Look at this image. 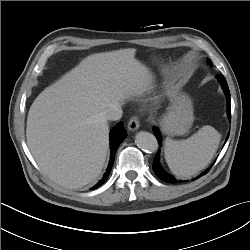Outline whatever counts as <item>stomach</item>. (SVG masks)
Segmentation results:
<instances>
[{
  "label": "stomach",
  "instance_id": "stomach-1",
  "mask_svg": "<svg viewBox=\"0 0 250 250\" xmlns=\"http://www.w3.org/2000/svg\"><path fill=\"white\" fill-rule=\"evenodd\" d=\"M167 93L172 105L160 120L161 129L167 135H184L194 121L191 98L174 83L168 84Z\"/></svg>",
  "mask_w": 250,
  "mask_h": 250
}]
</instances>
